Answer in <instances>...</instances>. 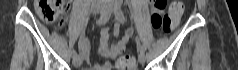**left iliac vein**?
I'll list each match as a JSON object with an SVG mask.
<instances>
[{"instance_id": "left-iliac-vein-1", "label": "left iliac vein", "mask_w": 238, "mask_h": 70, "mask_svg": "<svg viewBox=\"0 0 238 70\" xmlns=\"http://www.w3.org/2000/svg\"><path fill=\"white\" fill-rule=\"evenodd\" d=\"M105 11L112 12V11H113V5H112V4L106 5ZM138 60H139V62H140L141 64H143V63L145 62L144 52H140V53L138 54Z\"/></svg>"}]
</instances>
